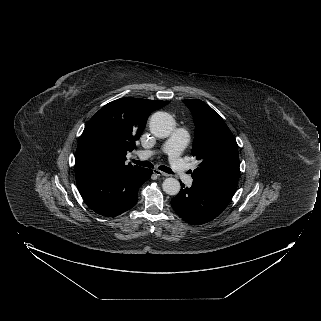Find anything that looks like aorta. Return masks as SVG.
<instances>
[{
  "label": "aorta",
  "instance_id": "1",
  "mask_svg": "<svg viewBox=\"0 0 321 321\" xmlns=\"http://www.w3.org/2000/svg\"><path fill=\"white\" fill-rule=\"evenodd\" d=\"M150 131L158 138L170 136L174 129V120L166 112L154 113L149 122ZM163 191L168 195H177L180 191V183L175 178H166L162 183Z\"/></svg>",
  "mask_w": 321,
  "mask_h": 321
}]
</instances>
